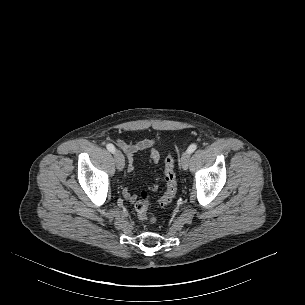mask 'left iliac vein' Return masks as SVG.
<instances>
[{
	"instance_id": "4c4485c4",
	"label": "left iliac vein",
	"mask_w": 305,
	"mask_h": 305,
	"mask_svg": "<svg viewBox=\"0 0 305 305\" xmlns=\"http://www.w3.org/2000/svg\"><path fill=\"white\" fill-rule=\"evenodd\" d=\"M190 159V153L188 151L184 152L181 156V166L184 170L188 168Z\"/></svg>"
}]
</instances>
